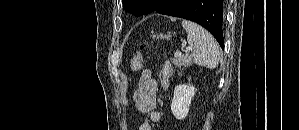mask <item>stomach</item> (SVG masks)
Here are the masks:
<instances>
[{
    "instance_id": "stomach-1",
    "label": "stomach",
    "mask_w": 299,
    "mask_h": 130,
    "mask_svg": "<svg viewBox=\"0 0 299 130\" xmlns=\"http://www.w3.org/2000/svg\"><path fill=\"white\" fill-rule=\"evenodd\" d=\"M171 38V35H170V33H168V34H159V35H157V39H167V40H169Z\"/></svg>"
}]
</instances>
